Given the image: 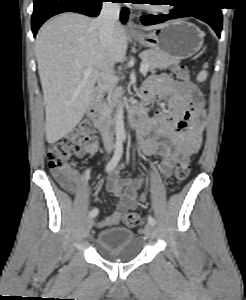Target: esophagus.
Masks as SVG:
<instances>
[{
	"instance_id": "1",
	"label": "esophagus",
	"mask_w": 246,
	"mask_h": 300,
	"mask_svg": "<svg viewBox=\"0 0 246 300\" xmlns=\"http://www.w3.org/2000/svg\"><path fill=\"white\" fill-rule=\"evenodd\" d=\"M127 31L129 33H137L138 32V28L133 21V14H130L128 25H127Z\"/></svg>"
}]
</instances>
